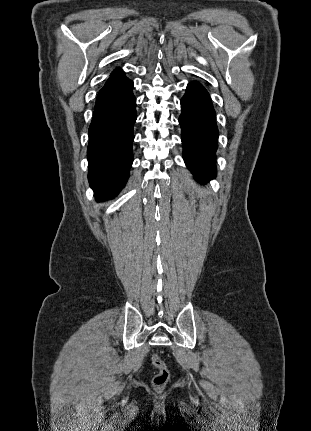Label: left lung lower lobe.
I'll return each mask as SVG.
<instances>
[{
    "label": "left lung lower lobe",
    "instance_id": "1",
    "mask_svg": "<svg viewBox=\"0 0 311 431\" xmlns=\"http://www.w3.org/2000/svg\"><path fill=\"white\" fill-rule=\"evenodd\" d=\"M181 107L184 161L199 182H207L216 175L218 138L215 111L207 90L198 82L189 83Z\"/></svg>",
    "mask_w": 311,
    "mask_h": 431
}]
</instances>
